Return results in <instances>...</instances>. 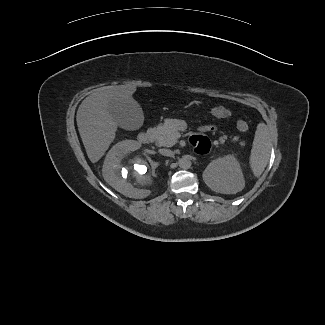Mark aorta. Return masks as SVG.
<instances>
[{"mask_svg":"<svg viewBox=\"0 0 325 325\" xmlns=\"http://www.w3.org/2000/svg\"><path fill=\"white\" fill-rule=\"evenodd\" d=\"M178 163H179V166L183 169H188L191 166V162L189 160H187L186 158H181Z\"/></svg>","mask_w":325,"mask_h":325,"instance_id":"obj_1","label":"aorta"}]
</instances>
